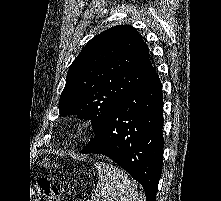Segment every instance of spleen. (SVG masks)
<instances>
[{"instance_id":"3e777b00","label":"spleen","mask_w":221,"mask_h":201,"mask_svg":"<svg viewBox=\"0 0 221 201\" xmlns=\"http://www.w3.org/2000/svg\"><path fill=\"white\" fill-rule=\"evenodd\" d=\"M99 180L91 201H137L138 192L128 175L120 168L104 162L94 164Z\"/></svg>"}]
</instances>
